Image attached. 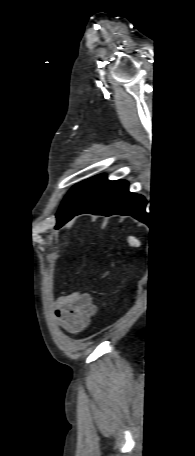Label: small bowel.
I'll list each match as a JSON object with an SVG mask.
<instances>
[{"label": "small bowel", "mask_w": 195, "mask_h": 456, "mask_svg": "<svg viewBox=\"0 0 195 456\" xmlns=\"http://www.w3.org/2000/svg\"><path fill=\"white\" fill-rule=\"evenodd\" d=\"M53 311L59 325L68 333L76 334L88 326L96 307L88 293L77 291L59 297Z\"/></svg>", "instance_id": "small-bowel-1"}]
</instances>
